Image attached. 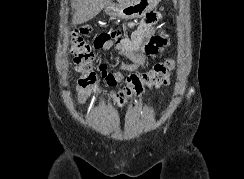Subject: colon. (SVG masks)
<instances>
[{
    "label": "colon",
    "mask_w": 244,
    "mask_h": 179,
    "mask_svg": "<svg viewBox=\"0 0 244 179\" xmlns=\"http://www.w3.org/2000/svg\"><path fill=\"white\" fill-rule=\"evenodd\" d=\"M90 31L91 28L88 25L74 28L70 32L69 51L74 56L73 69L80 74V86L88 89L92 95L102 96L105 94V90L95 72L94 54L84 41V37ZM173 68L174 62L168 59L154 64L149 70L130 75L124 87L111 91L113 101L121 106L145 92L146 88L152 89L168 85L169 75Z\"/></svg>",
    "instance_id": "1"
}]
</instances>
